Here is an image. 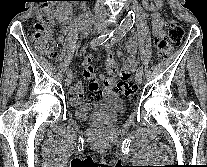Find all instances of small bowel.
Listing matches in <instances>:
<instances>
[{
  "label": "small bowel",
  "instance_id": "1",
  "mask_svg": "<svg viewBox=\"0 0 207 167\" xmlns=\"http://www.w3.org/2000/svg\"><path fill=\"white\" fill-rule=\"evenodd\" d=\"M155 2L159 0H154ZM164 21L160 13L154 11L151 14V28L155 38H162L164 36L163 30ZM67 29H63L59 35V41H63L67 35ZM138 43L136 35H132L128 41L129 55L123 58V70L127 76H130L136 70L135 52ZM106 57L105 66L109 74L108 77L97 75L92 66L93 57L86 55L83 58L84 77L89 80V94L87 102H94L100 98L114 97L115 96V76L118 72V65L112 56L109 46L105 45ZM102 83V87L100 86ZM70 104L73 106L80 105L84 99V87L82 83H77L69 89Z\"/></svg>",
  "mask_w": 207,
  "mask_h": 167
}]
</instances>
